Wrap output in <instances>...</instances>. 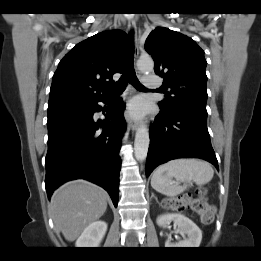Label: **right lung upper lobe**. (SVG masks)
I'll return each mask as SVG.
<instances>
[{
	"instance_id": "cb5924a9",
	"label": "right lung upper lobe",
	"mask_w": 261,
	"mask_h": 261,
	"mask_svg": "<svg viewBox=\"0 0 261 261\" xmlns=\"http://www.w3.org/2000/svg\"><path fill=\"white\" fill-rule=\"evenodd\" d=\"M126 39L125 32L109 30L75 45L53 75L49 102H86L107 96L112 75L122 72Z\"/></svg>"
}]
</instances>
